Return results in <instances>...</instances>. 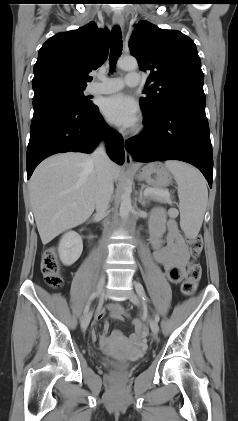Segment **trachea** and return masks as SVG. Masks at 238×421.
I'll return each mask as SVG.
<instances>
[{
    "instance_id": "trachea-1",
    "label": "trachea",
    "mask_w": 238,
    "mask_h": 421,
    "mask_svg": "<svg viewBox=\"0 0 238 421\" xmlns=\"http://www.w3.org/2000/svg\"><path fill=\"white\" fill-rule=\"evenodd\" d=\"M122 34L119 26H114L111 33L110 66L114 69L115 63L122 52Z\"/></svg>"
}]
</instances>
